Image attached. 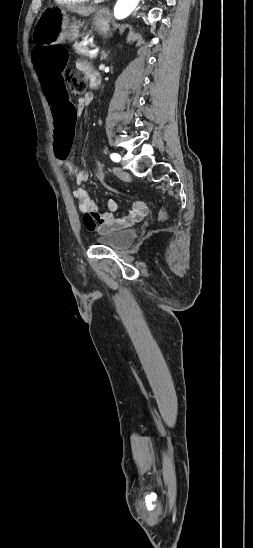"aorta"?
I'll list each match as a JSON object with an SVG mask.
<instances>
[{
	"label": "aorta",
	"mask_w": 253,
	"mask_h": 548,
	"mask_svg": "<svg viewBox=\"0 0 253 548\" xmlns=\"http://www.w3.org/2000/svg\"><path fill=\"white\" fill-rule=\"evenodd\" d=\"M140 0H117L114 7V16L121 20L128 17L137 7Z\"/></svg>",
	"instance_id": "obj_1"
}]
</instances>
